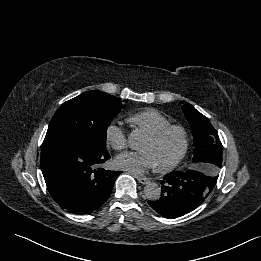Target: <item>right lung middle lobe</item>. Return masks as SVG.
<instances>
[{"mask_svg":"<svg viewBox=\"0 0 261 261\" xmlns=\"http://www.w3.org/2000/svg\"><path fill=\"white\" fill-rule=\"evenodd\" d=\"M122 101L102 91H87L65 103L54 114L41 151L67 146L106 148L107 128Z\"/></svg>","mask_w":261,"mask_h":261,"instance_id":"dd1d6c3e","label":"right lung middle lobe"}]
</instances>
